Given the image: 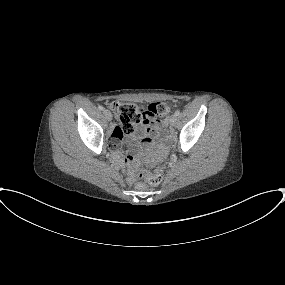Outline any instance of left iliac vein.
<instances>
[{
	"instance_id": "1",
	"label": "left iliac vein",
	"mask_w": 285,
	"mask_h": 285,
	"mask_svg": "<svg viewBox=\"0 0 285 285\" xmlns=\"http://www.w3.org/2000/svg\"><path fill=\"white\" fill-rule=\"evenodd\" d=\"M169 123H170L171 126H175L176 125V123H177V116L175 114H173L170 117Z\"/></svg>"
}]
</instances>
